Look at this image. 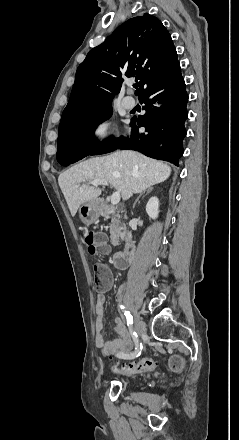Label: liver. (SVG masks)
Segmentation results:
<instances>
[{
    "label": "liver",
    "instance_id": "obj_1",
    "mask_svg": "<svg viewBox=\"0 0 239 440\" xmlns=\"http://www.w3.org/2000/svg\"><path fill=\"white\" fill-rule=\"evenodd\" d=\"M170 174L171 168L164 162L146 158L139 152L117 150L109 156L91 158L72 166L60 174L58 182L74 218L81 204L97 200L102 194V190L95 186H79L81 182L105 180L120 192L122 200H129L133 194H141L147 188L165 182Z\"/></svg>",
    "mask_w": 239,
    "mask_h": 440
}]
</instances>
